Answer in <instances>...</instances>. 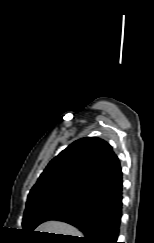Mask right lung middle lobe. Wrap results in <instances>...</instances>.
Returning <instances> with one entry per match:
<instances>
[{
	"label": "right lung middle lobe",
	"mask_w": 154,
	"mask_h": 243,
	"mask_svg": "<svg viewBox=\"0 0 154 243\" xmlns=\"http://www.w3.org/2000/svg\"><path fill=\"white\" fill-rule=\"evenodd\" d=\"M86 200L61 195L43 196L27 201L23 216V231L32 234L33 230L42 222L67 208H75Z\"/></svg>",
	"instance_id": "obj_1"
}]
</instances>
